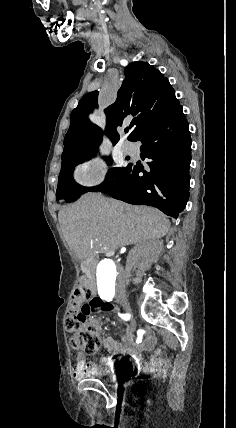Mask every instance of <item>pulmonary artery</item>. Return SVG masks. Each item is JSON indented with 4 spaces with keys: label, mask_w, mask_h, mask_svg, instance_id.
Instances as JSON below:
<instances>
[{
    "label": "pulmonary artery",
    "mask_w": 236,
    "mask_h": 428,
    "mask_svg": "<svg viewBox=\"0 0 236 428\" xmlns=\"http://www.w3.org/2000/svg\"><path fill=\"white\" fill-rule=\"evenodd\" d=\"M135 146H134V144L133 143H131V142H128V141H125V142H123L122 144H121V151L124 153V154H132V153H134L135 152Z\"/></svg>",
    "instance_id": "e3ab8cb5"
}]
</instances>
